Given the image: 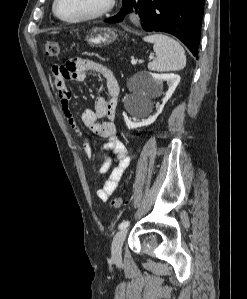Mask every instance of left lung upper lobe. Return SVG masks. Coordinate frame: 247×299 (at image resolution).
<instances>
[{
    "instance_id": "obj_1",
    "label": "left lung upper lobe",
    "mask_w": 247,
    "mask_h": 299,
    "mask_svg": "<svg viewBox=\"0 0 247 299\" xmlns=\"http://www.w3.org/2000/svg\"><path fill=\"white\" fill-rule=\"evenodd\" d=\"M123 1V7L126 6L131 0H122Z\"/></svg>"
}]
</instances>
